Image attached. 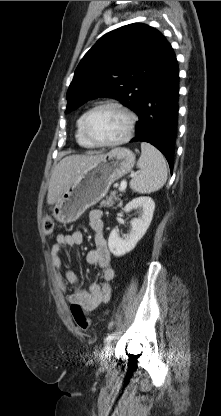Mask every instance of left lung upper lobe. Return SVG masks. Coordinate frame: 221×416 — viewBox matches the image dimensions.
I'll return each mask as SVG.
<instances>
[{
	"instance_id": "1",
	"label": "left lung upper lobe",
	"mask_w": 221,
	"mask_h": 416,
	"mask_svg": "<svg viewBox=\"0 0 221 416\" xmlns=\"http://www.w3.org/2000/svg\"><path fill=\"white\" fill-rule=\"evenodd\" d=\"M166 43L158 30L141 23L105 34L78 65L65 113L103 96L114 97L137 113Z\"/></svg>"
}]
</instances>
